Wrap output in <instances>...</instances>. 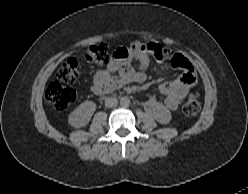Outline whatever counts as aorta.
<instances>
[{"label": "aorta", "mask_w": 248, "mask_h": 194, "mask_svg": "<svg viewBox=\"0 0 248 194\" xmlns=\"http://www.w3.org/2000/svg\"><path fill=\"white\" fill-rule=\"evenodd\" d=\"M120 104L123 107H128L130 105V99L128 97H126V96L125 97H122L120 99Z\"/></svg>", "instance_id": "obj_1"}]
</instances>
